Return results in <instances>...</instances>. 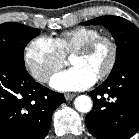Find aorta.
<instances>
[{
	"mask_svg": "<svg viewBox=\"0 0 139 139\" xmlns=\"http://www.w3.org/2000/svg\"><path fill=\"white\" fill-rule=\"evenodd\" d=\"M75 108L82 113H87L92 109V100L87 95H80L74 101Z\"/></svg>",
	"mask_w": 139,
	"mask_h": 139,
	"instance_id": "aorta-1",
	"label": "aorta"
}]
</instances>
